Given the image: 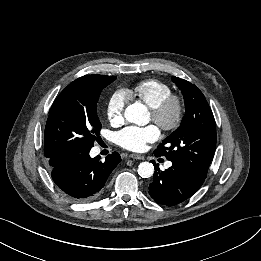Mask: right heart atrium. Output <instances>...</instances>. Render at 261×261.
<instances>
[{
  "label": "right heart atrium",
  "mask_w": 261,
  "mask_h": 261,
  "mask_svg": "<svg viewBox=\"0 0 261 261\" xmlns=\"http://www.w3.org/2000/svg\"><path fill=\"white\" fill-rule=\"evenodd\" d=\"M126 94L124 91L113 93L106 104V116L112 125H119L124 121Z\"/></svg>",
  "instance_id": "right-heart-atrium-1"
}]
</instances>
